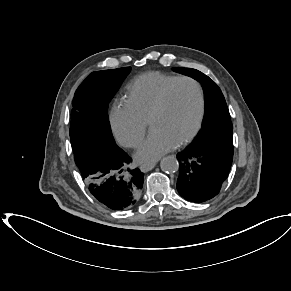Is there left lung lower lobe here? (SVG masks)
Segmentation results:
<instances>
[{"instance_id":"left-lung-lower-lobe-1","label":"left lung lower lobe","mask_w":291,"mask_h":291,"mask_svg":"<svg viewBox=\"0 0 291 291\" xmlns=\"http://www.w3.org/2000/svg\"><path fill=\"white\" fill-rule=\"evenodd\" d=\"M177 159V191L187 201L202 203L220 192L230 172L233 153L187 146L177 154Z\"/></svg>"}]
</instances>
